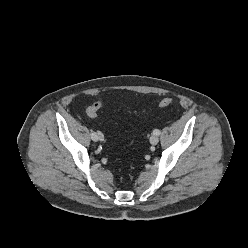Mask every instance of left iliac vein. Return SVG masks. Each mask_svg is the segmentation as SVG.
I'll use <instances>...</instances> for the list:
<instances>
[{
  "label": "left iliac vein",
  "mask_w": 248,
  "mask_h": 248,
  "mask_svg": "<svg viewBox=\"0 0 248 248\" xmlns=\"http://www.w3.org/2000/svg\"><path fill=\"white\" fill-rule=\"evenodd\" d=\"M159 142V138H158V136L157 135H152L151 137H150V143L152 144V145H156L157 143Z\"/></svg>",
  "instance_id": "1"
}]
</instances>
